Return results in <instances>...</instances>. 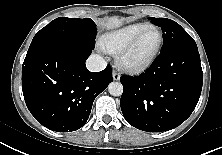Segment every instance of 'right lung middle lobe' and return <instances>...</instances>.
Returning a JSON list of instances; mask_svg holds the SVG:
<instances>
[{"instance_id": "right-lung-middle-lobe-1", "label": "right lung middle lobe", "mask_w": 222, "mask_h": 155, "mask_svg": "<svg viewBox=\"0 0 222 155\" xmlns=\"http://www.w3.org/2000/svg\"><path fill=\"white\" fill-rule=\"evenodd\" d=\"M96 33V25L90 18L59 17L36 33L26 57L56 44L76 42L94 45Z\"/></svg>"}]
</instances>
